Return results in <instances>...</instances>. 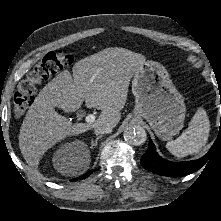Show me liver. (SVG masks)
I'll list each match as a JSON object with an SVG mask.
<instances>
[{
  "label": "liver",
  "instance_id": "1",
  "mask_svg": "<svg viewBox=\"0 0 221 221\" xmlns=\"http://www.w3.org/2000/svg\"><path fill=\"white\" fill-rule=\"evenodd\" d=\"M146 61L144 55L128 49L106 48L81 59L53 78L37 95L23 120L19 148L33 173L40 175L38 164L44 153L68 136L78 135L96 125L116 127L127 100L128 87L136 69ZM88 108L101 110L93 123L72 122L55 111Z\"/></svg>",
  "mask_w": 221,
  "mask_h": 221
}]
</instances>
